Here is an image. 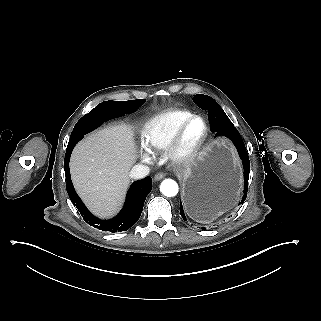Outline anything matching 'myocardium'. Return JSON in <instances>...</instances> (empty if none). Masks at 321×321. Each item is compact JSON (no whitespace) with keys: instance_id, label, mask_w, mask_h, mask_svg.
I'll list each match as a JSON object with an SVG mask.
<instances>
[{"instance_id":"obj_1","label":"myocardium","mask_w":321,"mask_h":321,"mask_svg":"<svg viewBox=\"0 0 321 321\" xmlns=\"http://www.w3.org/2000/svg\"><path fill=\"white\" fill-rule=\"evenodd\" d=\"M195 120L202 122L203 131L200 138L192 146H185L182 138L185 129ZM209 134L206 120L200 115H192L182 121L174 130L172 137L166 147V157L178 165H186L195 160L201 153Z\"/></svg>"}]
</instances>
